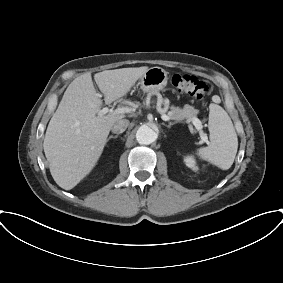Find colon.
<instances>
[{"label": "colon", "instance_id": "obj_1", "mask_svg": "<svg viewBox=\"0 0 283 283\" xmlns=\"http://www.w3.org/2000/svg\"><path fill=\"white\" fill-rule=\"evenodd\" d=\"M172 86L181 93H186L196 100H203L209 92L208 85L190 74L176 73L171 77Z\"/></svg>", "mask_w": 283, "mask_h": 283}]
</instances>
